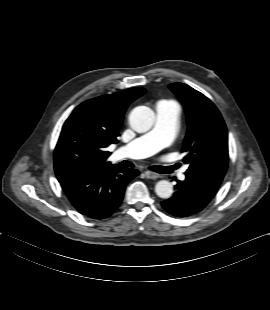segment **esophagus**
Wrapping results in <instances>:
<instances>
[{
	"label": "esophagus",
	"instance_id": "1",
	"mask_svg": "<svg viewBox=\"0 0 270 310\" xmlns=\"http://www.w3.org/2000/svg\"><path fill=\"white\" fill-rule=\"evenodd\" d=\"M146 178L148 179H156L159 178V174L155 173V172H151V171H145L144 172Z\"/></svg>",
	"mask_w": 270,
	"mask_h": 310
}]
</instances>
